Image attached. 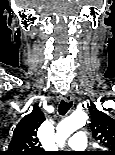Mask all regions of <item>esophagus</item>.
Wrapping results in <instances>:
<instances>
[{
  "label": "esophagus",
  "mask_w": 115,
  "mask_h": 155,
  "mask_svg": "<svg viewBox=\"0 0 115 155\" xmlns=\"http://www.w3.org/2000/svg\"><path fill=\"white\" fill-rule=\"evenodd\" d=\"M74 95L73 94H66L65 96H64V101H66V102H72L73 100H74Z\"/></svg>",
  "instance_id": "obj_1"
}]
</instances>
